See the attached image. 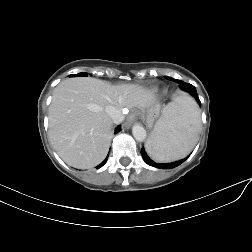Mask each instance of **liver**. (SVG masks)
I'll list each match as a JSON object with an SVG mask.
<instances>
[{
    "label": "liver",
    "instance_id": "6515ba94",
    "mask_svg": "<svg viewBox=\"0 0 252 252\" xmlns=\"http://www.w3.org/2000/svg\"><path fill=\"white\" fill-rule=\"evenodd\" d=\"M155 103L152 91L135 84L68 78L54 89L49 107L51 144L68 165L95 167L105 159L112 138L113 120L105 108L113 106L124 111L137 107L144 111L156 106L160 111Z\"/></svg>",
    "mask_w": 252,
    "mask_h": 252
}]
</instances>
